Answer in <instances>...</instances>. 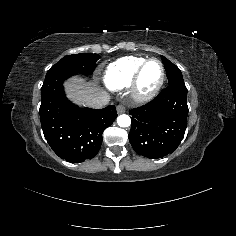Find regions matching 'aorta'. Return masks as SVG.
<instances>
[{
  "instance_id": "obj_1",
  "label": "aorta",
  "mask_w": 236,
  "mask_h": 236,
  "mask_svg": "<svg viewBox=\"0 0 236 236\" xmlns=\"http://www.w3.org/2000/svg\"><path fill=\"white\" fill-rule=\"evenodd\" d=\"M117 124L120 127H129L130 124H131V119H130V117L128 115L122 114V115L118 116Z\"/></svg>"
}]
</instances>
